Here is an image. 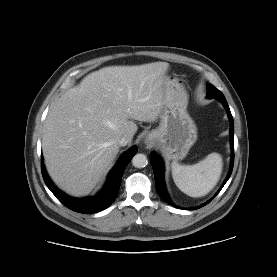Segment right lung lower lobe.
I'll return each mask as SVG.
<instances>
[{
    "instance_id": "1",
    "label": "right lung lower lobe",
    "mask_w": 277,
    "mask_h": 277,
    "mask_svg": "<svg viewBox=\"0 0 277 277\" xmlns=\"http://www.w3.org/2000/svg\"><path fill=\"white\" fill-rule=\"evenodd\" d=\"M136 152L137 147L134 146L120 157L116 166L109 173L104 188L94 197L77 199L61 192L49 178L43 163H41L42 176L50 191L69 209L84 214L99 212L109 207L115 200L120 188L123 172Z\"/></svg>"
}]
</instances>
